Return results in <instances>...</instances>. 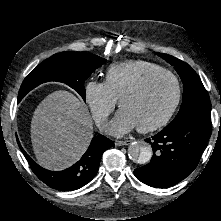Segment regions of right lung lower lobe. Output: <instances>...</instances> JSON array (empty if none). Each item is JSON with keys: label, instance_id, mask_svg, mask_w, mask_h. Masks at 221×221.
Masks as SVG:
<instances>
[{"label": "right lung lower lobe", "instance_id": "obj_1", "mask_svg": "<svg viewBox=\"0 0 221 221\" xmlns=\"http://www.w3.org/2000/svg\"><path fill=\"white\" fill-rule=\"evenodd\" d=\"M112 146L114 142L105 136L94 137L82 158L63 171H49L40 167L21 146L20 148L32 171L41 181L56 190L73 191L88 184L95 177L103 152Z\"/></svg>", "mask_w": 221, "mask_h": 221}]
</instances>
